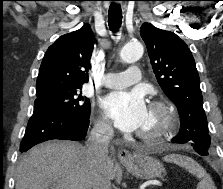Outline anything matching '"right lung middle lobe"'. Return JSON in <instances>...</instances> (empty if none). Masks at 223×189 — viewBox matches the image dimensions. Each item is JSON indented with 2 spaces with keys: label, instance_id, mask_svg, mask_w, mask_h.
<instances>
[{
  "label": "right lung middle lobe",
  "instance_id": "dd1d6c3e",
  "mask_svg": "<svg viewBox=\"0 0 223 189\" xmlns=\"http://www.w3.org/2000/svg\"><path fill=\"white\" fill-rule=\"evenodd\" d=\"M82 87L36 92L35 106L61 109L83 118L90 114V101L79 92ZM34 106V107H35Z\"/></svg>",
  "mask_w": 223,
  "mask_h": 189
}]
</instances>
